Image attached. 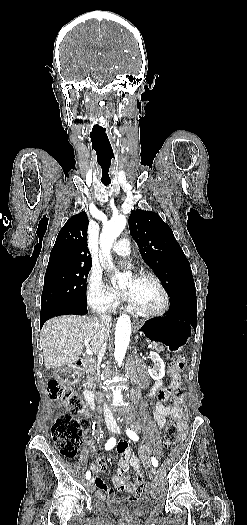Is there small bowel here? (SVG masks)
I'll use <instances>...</instances> for the list:
<instances>
[{"label": "small bowel", "mask_w": 247, "mask_h": 525, "mask_svg": "<svg viewBox=\"0 0 247 525\" xmlns=\"http://www.w3.org/2000/svg\"><path fill=\"white\" fill-rule=\"evenodd\" d=\"M159 383H155L149 392V396L153 397L157 394L159 390ZM170 386L176 390L174 396L175 402L172 405H167L164 401H157L155 404L154 410V420L156 425L163 429L166 423V419L171 417L175 419L179 426L180 433L184 434L186 431V421L184 416L183 409V393L180 390L181 379L180 375L177 372H173L171 377ZM89 413H87V416ZM117 450L119 453V459L117 463V472L112 477L113 483L121 491L133 492V495L129 496L128 499L136 500L139 496L134 493V485L130 483L128 471L133 469L134 471H139L141 467V462L144 465H150L151 462V453L146 449H141V459L132 454L128 448L127 442L125 440L119 441L117 445ZM158 455L157 453H155ZM94 459L96 467L98 469H103L105 467L104 458L97 454H94ZM94 469V467H92ZM96 478V477H95ZM94 478L93 485L98 490L96 491V496L99 499H108L110 504L115 502L114 493H105L108 490L105 480L101 479V476H98L97 479Z\"/></svg>", "instance_id": "obj_1"}]
</instances>
